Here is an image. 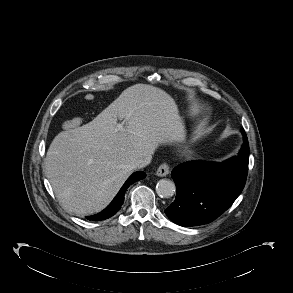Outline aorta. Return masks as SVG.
Segmentation results:
<instances>
[{
  "mask_svg": "<svg viewBox=\"0 0 293 293\" xmlns=\"http://www.w3.org/2000/svg\"><path fill=\"white\" fill-rule=\"evenodd\" d=\"M175 191V184L169 179H161L156 185V193L161 198H170L175 194Z\"/></svg>",
  "mask_w": 293,
  "mask_h": 293,
  "instance_id": "1",
  "label": "aorta"
}]
</instances>
